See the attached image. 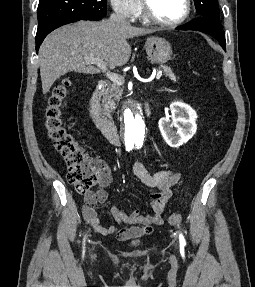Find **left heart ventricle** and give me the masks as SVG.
Instances as JSON below:
<instances>
[{"mask_svg":"<svg viewBox=\"0 0 255 287\" xmlns=\"http://www.w3.org/2000/svg\"><path fill=\"white\" fill-rule=\"evenodd\" d=\"M117 33H127V32H117ZM156 33H167V32H156ZM116 39H131V38H116ZM159 39V38H153ZM115 48H132V47H115ZM150 48H161V47H150Z\"/></svg>","mask_w":255,"mask_h":287,"instance_id":"obj_1","label":"left heart ventricle"}]
</instances>
